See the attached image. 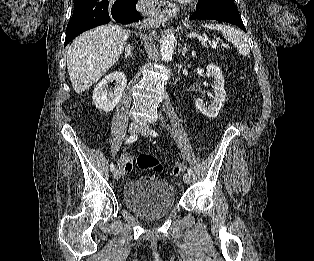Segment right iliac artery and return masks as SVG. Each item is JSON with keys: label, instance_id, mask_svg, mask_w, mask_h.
Segmentation results:
<instances>
[{"label": "right iliac artery", "instance_id": "82829eb1", "mask_svg": "<svg viewBox=\"0 0 314 261\" xmlns=\"http://www.w3.org/2000/svg\"><path fill=\"white\" fill-rule=\"evenodd\" d=\"M136 140H137V135H132V136H130V137L125 141V143H126V144H128V143H133V142H135ZM114 169H115V166H114L113 163H111V164H110V170H111V171H114Z\"/></svg>", "mask_w": 314, "mask_h": 261}]
</instances>
